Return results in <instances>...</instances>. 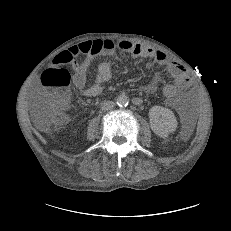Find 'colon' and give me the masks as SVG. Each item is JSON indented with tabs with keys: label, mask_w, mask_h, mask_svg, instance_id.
<instances>
[{
	"label": "colon",
	"mask_w": 231,
	"mask_h": 231,
	"mask_svg": "<svg viewBox=\"0 0 231 231\" xmlns=\"http://www.w3.org/2000/svg\"><path fill=\"white\" fill-rule=\"evenodd\" d=\"M61 62L60 54L54 64L60 65ZM41 80L48 102V107L43 111L44 121L47 126H59L65 121V110L70 102V73L63 68H51L42 74ZM161 90L168 99H174L178 95V87L172 81H165Z\"/></svg>",
	"instance_id": "colon-1"
}]
</instances>
